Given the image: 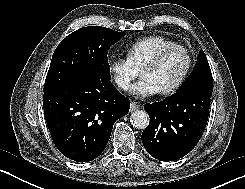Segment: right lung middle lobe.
<instances>
[{
	"mask_svg": "<svg viewBox=\"0 0 245 189\" xmlns=\"http://www.w3.org/2000/svg\"><path fill=\"white\" fill-rule=\"evenodd\" d=\"M124 35L101 26L80 28L68 35L53 54L43 91L72 84L96 71L109 73L108 50Z\"/></svg>",
	"mask_w": 245,
	"mask_h": 189,
	"instance_id": "obj_1",
	"label": "right lung middle lobe"
}]
</instances>
